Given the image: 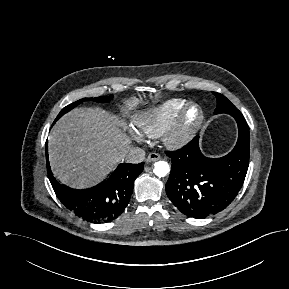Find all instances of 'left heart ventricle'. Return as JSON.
Here are the masks:
<instances>
[{"label":"left heart ventricle","mask_w":289,"mask_h":289,"mask_svg":"<svg viewBox=\"0 0 289 289\" xmlns=\"http://www.w3.org/2000/svg\"><path fill=\"white\" fill-rule=\"evenodd\" d=\"M195 115V110H192L190 116L193 117Z\"/></svg>","instance_id":"1"}]
</instances>
